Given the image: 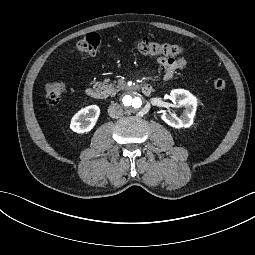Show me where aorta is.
Returning a JSON list of instances; mask_svg holds the SVG:
<instances>
[{"label":"aorta","mask_w":255,"mask_h":255,"mask_svg":"<svg viewBox=\"0 0 255 255\" xmlns=\"http://www.w3.org/2000/svg\"><path fill=\"white\" fill-rule=\"evenodd\" d=\"M123 103L126 108L136 111L143 106V98L139 94L133 92L124 96Z\"/></svg>","instance_id":"obj_1"}]
</instances>
